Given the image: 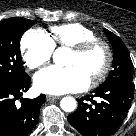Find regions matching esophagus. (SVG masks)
I'll return each instance as SVG.
<instances>
[{"instance_id":"esophagus-1","label":"esophagus","mask_w":136,"mask_h":136,"mask_svg":"<svg viewBox=\"0 0 136 136\" xmlns=\"http://www.w3.org/2000/svg\"><path fill=\"white\" fill-rule=\"evenodd\" d=\"M59 98H60V96H52V95L46 96L47 101L56 100V99H59Z\"/></svg>"}]
</instances>
